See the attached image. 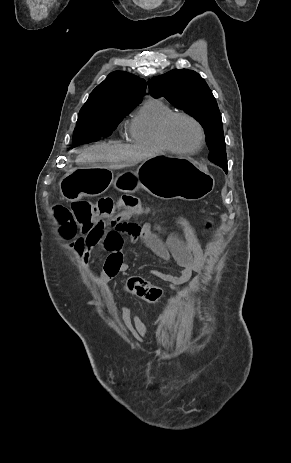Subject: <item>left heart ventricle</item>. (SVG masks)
<instances>
[{
  "mask_svg": "<svg viewBox=\"0 0 291 463\" xmlns=\"http://www.w3.org/2000/svg\"><path fill=\"white\" fill-rule=\"evenodd\" d=\"M169 137L176 146L189 149L197 145L199 131L191 121L177 118L170 126Z\"/></svg>",
  "mask_w": 291,
  "mask_h": 463,
  "instance_id": "left-heart-ventricle-1",
  "label": "left heart ventricle"
}]
</instances>
